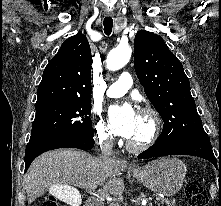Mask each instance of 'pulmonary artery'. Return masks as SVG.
I'll use <instances>...</instances> for the list:
<instances>
[{
	"instance_id": "obj_1",
	"label": "pulmonary artery",
	"mask_w": 221,
	"mask_h": 206,
	"mask_svg": "<svg viewBox=\"0 0 221 206\" xmlns=\"http://www.w3.org/2000/svg\"><path fill=\"white\" fill-rule=\"evenodd\" d=\"M133 85V79L130 73L123 72L118 81L109 86L106 91L107 97L117 98L125 95Z\"/></svg>"
}]
</instances>
